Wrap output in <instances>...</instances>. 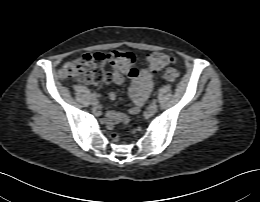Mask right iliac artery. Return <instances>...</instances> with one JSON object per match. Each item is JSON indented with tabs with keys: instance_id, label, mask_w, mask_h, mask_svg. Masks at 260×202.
I'll use <instances>...</instances> for the list:
<instances>
[{
	"instance_id": "right-iliac-artery-1",
	"label": "right iliac artery",
	"mask_w": 260,
	"mask_h": 202,
	"mask_svg": "<svg viewBox=\"0 0 260 202\" xmlns=\"http://www.w3.org/2000/svg\"><path fill=\"white\" fill-rule=\"evenodd\" d=\"M92 97L95 99V98H97V94L96 93H93L92 94Z\"/></svg>"
}]
</instances>
